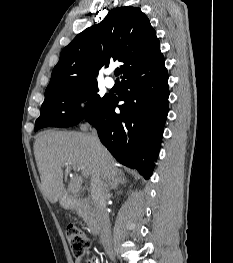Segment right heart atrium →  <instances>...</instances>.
<instances>
[{
	"label": "right heart atrium",
	"mask_w": 233,
	"mask_h": 263,
	"mask_svg": "<svg viewBox=\"0 0 233 263\" xmlns=\"http://www.w3.org/2000/svg\"><path fill=\"white\" fill-rule=\"evenodd\" d=\"M84 106H85V99H79L76 103V108L79 110V111H82L84 109Z\"/></svg>",
	"instance_id": "d8ad5b80"
}]
</instances>
